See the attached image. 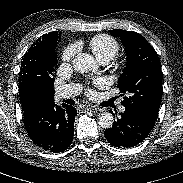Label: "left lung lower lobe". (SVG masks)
<instances>
[{
    "label": "left lung lower lobe",
    "mask_w": 183,
    "mask_h": 183,
    "mask_svg": "<svg viewBox=\"0 0 183 183\" xmlns=\"http://www.w3.org/2000/svg\"><path fill=\"white\" fill-rule=\"evenodd\" d=\"M155 121L156 119L140 110L125 107L120 119L104 134L107 141L115 147H133L149 135Z\"/></svg>",
    "instance_id": "obj_1"
}]
</instances>
